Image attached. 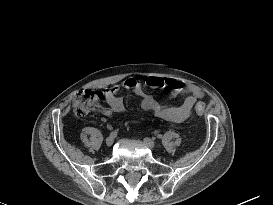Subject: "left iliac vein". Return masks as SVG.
Masks as SVG:
<instances>
[{"mask_svg": "<svg viewBox=\"0 0 273 205\" xmlns=\"http://www.w3.org/2000/svg\"><path fill=\"white\" fill-rule=\"evenodd\" d=\"M144 143L146 144L147 147H149L151 149H153L155 147V142L148 137L144 138Z\"/></svg>", "mask_w": 273, "mask_h": 205, "instance_id": "4c4485c4", "label": "left iliac vein"}]
</instances>
